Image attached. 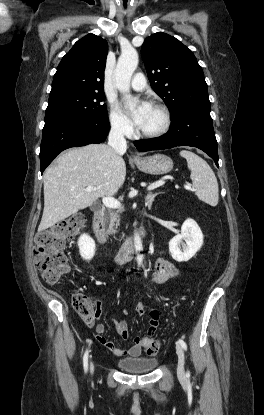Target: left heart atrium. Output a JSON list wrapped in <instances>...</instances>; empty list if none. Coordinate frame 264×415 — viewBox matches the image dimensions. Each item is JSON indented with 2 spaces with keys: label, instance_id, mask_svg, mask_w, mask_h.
Wrapping results in <instances>:
<instances>
[{
  "label": "left heart atrium",
  "instance_id": "1",
  "mask_svg": "<svg viewBox=\"0 0 264 415\" xmlns=\"http://www.w3.org/2000/svg\"><path fill=\"white\" fill-rule=\"evenodd\" d=\"M150 107L151 105L148 102L142 101L139 107L131 113V118L137 127H140L142 124L144 117L150 110Z\"/></svg>",
  "mask_w": 264,
  "mask_h": 415
}]
</instances>
